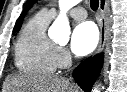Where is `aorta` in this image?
I'll use <instances>...</instances> for the list:
<instances>
[{
  "mask_svg": "<svg viewBox=\"0 0 127 92\" xmlns=\"http://www.w3.org/2000/svg\"><path fill=\"white\" fill-rule=\"evenodd\" d=\"M80 0H59L60 14L50 27V35L59 43L67 42L70 35V25L66 12L78 4ZM93 92H100L98 88H94Z\"/></svg>",
  "mask_w": 127,
  "mask_h": 92,
  "instance_id": "762f6f07",
  "label": "aorta"
}]
</instances>
